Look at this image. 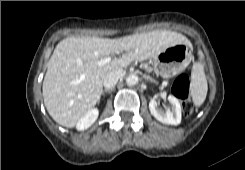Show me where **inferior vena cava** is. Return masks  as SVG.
I'll use <instances>...</instances> for the list:
<instances>
[{"instance_id": "inferior-vena-cava-1", "label": "inferior vena cava", "mask_w": 245, "mask_h": 170, "mask_svg": "<svg viewBox=\"0 0 245 170\" xmlns=\"http://www.w3.org/2000/svg\"><path fill=\"white\" fill-rule=\"evenodd\" d=\"M125 75V71L120 72H110L108 73L103 81V85L105 89H112L118 82L120 78H122Z\"/></svg>"}]
</instances>
